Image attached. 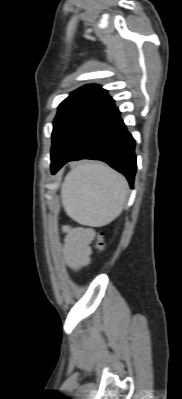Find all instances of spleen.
Segmentation results:
<instances>
[{
	"label": "spleen",
	"mask_w": 182,
	"mask_h": 399,
	"mask_svg": "<svg viewBox=\"0 0 182 399\" xmlns=\"http://www.w3.org/2000/svg\"><path fill=\"white\" fill-rule=\"evenodd\" d=\"M128 196V183L101 162H82L70 171L61 188L64 210L76 222L103 226L118 217Z\"/></svg>",
	"instance_id": "obj_1"
}]
</instances>
